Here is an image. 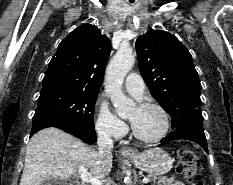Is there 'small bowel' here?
<instances>
[{"mask_svg":"<svg viewBox=\"0 0 233 185\" xmlns=\"http://www.w3.org/2000/svg\"><path fill=\"white\" fill-rule=\"evenodd\" d=\"M173 185H186V184L182 181H177Z\"/></svg>","mask_w":233,"mask_h":185,"instance_id":"1","label":"small bowel"}]
</instances>
